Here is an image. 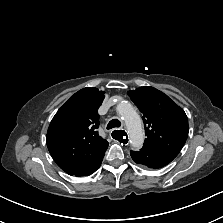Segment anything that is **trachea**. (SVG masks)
I'll return each instance as SVG.
<instances>
[{
	"label": "trachea",
	"instance_id": "1",
	"mask_svg": "<svg viewBox=\"0 0 223 223\" xmlns=\"http://www.w3.org/2000/svg\"><path fill=\"white\" fill-rule=\"evenodd\" d=\"M121 126V122L118 119H112L108 125L107 129L119 128Z\"/></svg>",
	"mask_w": 223,
	"mask_h": 223
}]
</instances>
